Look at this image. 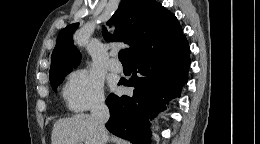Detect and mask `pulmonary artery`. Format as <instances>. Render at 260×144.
I'll return each instance as SVG.
<instances>
[{
  "label": "pulmonary artery",
  "instance_id": "1",
  "mask_svg": "<svg viewBox=\"0 0 260 144\" xmlns=\"http://www.w3.org/2000/svg\"><path fill=\"white\" fill-rule=\"evenodd\" d=\"M109 69L115 72H121L123 70L122 64L114 57L109 60Z\"/></svg>",
  "mask_w": 260,
  "mask_h": 144
}]
</instances>
